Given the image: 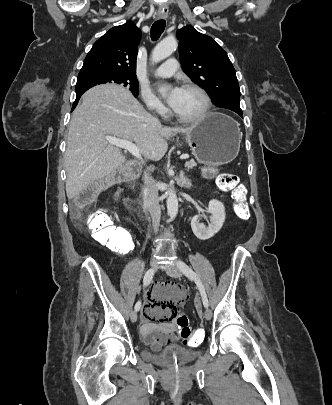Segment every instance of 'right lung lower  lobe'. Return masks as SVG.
I'll return each mask as SVG.
<instances>
[{
  "label": "right lung lower lobe",
  "mask_w": 332,
  "mask_h": 405,
  "mask_svg": "<svg viewBox=\"0 0 332 405\" xmlns=\"http://www.w3.org/2000/svg\"><path fill=\"white\" fill-rule=\"evenodd\" d=\"M84 92H85V91H84ZM84 92L76 93V100L74 101V103H73V105H72V110L76 107V105H77V103H78V101H79L81 95H82Z\"/></svg>",
  "instance_id": "98d812e1"
}]
</instances>
